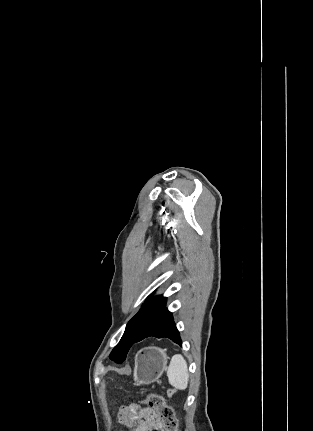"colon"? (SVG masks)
<instances>
[{
    "mask_svg": "<svg viewBox=\"0 0 313 431\" xmlns=\"http://www.w3.org/2000/svg\"><path fill=\"white\" fill-rule=\"evenodd\" d=\"M146 402L155 410L158 416V422L155 427L157 431H177L178 424L174 410L161 395L149 394L146 397Z\"/></svg>",
    "mask_w": 313,
    "mask_h": 431,
    "instance_id": "5ec220e1",
    "label": "colon"
}]
</instances>
